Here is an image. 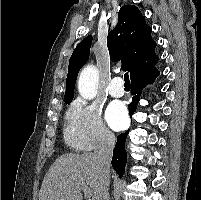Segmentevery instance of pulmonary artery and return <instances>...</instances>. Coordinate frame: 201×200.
Listing matches in <instances>:
<instances>
[{
    "instance_id": "1",
    "label": "pulmonary artery",
    "mask_w": 201,
    "mask_h": 200,
    "mask_svg": "<svg viewBox=\"0 0 201 200\" xmlns=\"http://www.w3.org/2000/svg\"><path fill=\"white\" fill-rule=\"evenodd\" d=\"M108 92L112 97H122L124 95L123 80L121 77L116 76L112 79Z\"/></svg>"
}]
</instances>
